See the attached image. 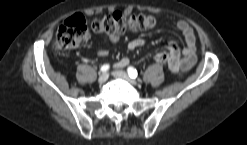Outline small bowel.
I'll list each match as a JSON object with an SVG mask.
<instances>
[{"label":"small bowel","instance_id":"obj_1","mask_svg":"<svg viewBox=\"0 0 247 145\" xmlns=\"http://www.w3.org/2000/svg\"><path fill=\"white\" fill-rule=\"evenodd\" d=\"M177 29L181 32L185 39V47L180 50L178 45L173 41H168L166 47L168 49V67L173 73L187 72L189 71L196 63V36L192 27L184 20H180L176 24ZM120 39V36L117 34H110L109 40L112 43H117ZM146 44L144 38L138 37L132 39L128 43V49L130 51L136 50L140 47H143ZM158 53L157 55H159ZM99 57H106L108 51L106 49H100L97 51ZM156 55V56H157ZM155 56V60H156ZM157 61V60H156ZM158 62V61H157ZM161 63V62H158ZM129 64V58L123 57L115 64V68L121 69L126 67Z\"/></svg>","mask_w":247,"mask_h":145}]
</instances>
